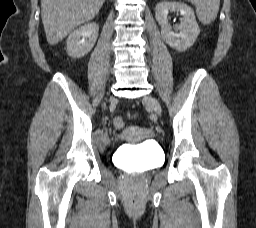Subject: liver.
<instances>
[{"label": "liver", "mask_w": 256, "mask_h": 228, "mask_svg": "<svg viewBox=\"0 0 256 228\" xmlns=\"http://www.w3.org/2000/svg\"><path fill=\"white\" fill-rule=\"evenodd\" d=\"M105 0H41L47 42L55 45L76 27L92 20Z\"/></svg>", "instance_id": "liver-1"}]
</instances>
